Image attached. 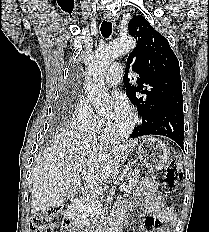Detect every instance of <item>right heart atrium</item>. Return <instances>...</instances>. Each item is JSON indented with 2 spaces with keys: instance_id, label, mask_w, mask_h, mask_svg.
Here are the masks:
<instances>
[{
  "instance_id": "1",
  "label": "right heart atrium",
  "mask_w": 209,
  "mask_h": 232,
  "mask_svg": "<svg viewBox=\"0 0 209 232\" xmlns=\"http://www.w3.org/2000/svg\"><path fill=\"white\" fill-rule=\"evenodd\" d=\"M102 123L85 95H80L71 115V126L79 132H92Z\"/></svg>"
}]
</instances>
